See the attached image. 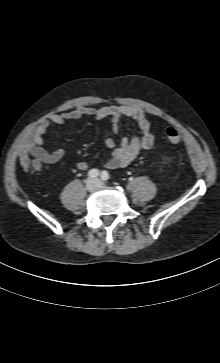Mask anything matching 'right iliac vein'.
I'll use <instances>...</instances> for the list:
<instances>
[{"label": "right iliac vein", "mask_w": 220, "mask_h": 363, "mask_svg": "<svg viewBox=\"0 0 220 363\" xmlns=\"http://www.w3.org/2000/svg\"><path fill=\"white\" fill-rule=\"evenodd\" d=\"M97 187V182L96 180L92 179V178H89L87 181H86V188L88 191H93L95 188Z\"/></svg>", "instance_id": "right-iliac-vein-1"}]
</instances>
